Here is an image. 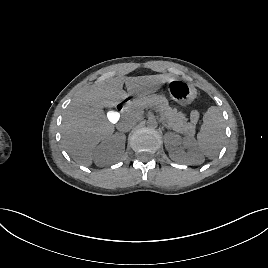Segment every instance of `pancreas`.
<instances>
[{"mask_svg":"<svg viewBox=\"0 0 268 268\" xmlns=\"http://www.w3.org/2000/svg\"><path fill=\"white\" fill-rule=\"evenodd\" d=\"M147 107H152L159 112L166 127L184 135H194L196 122H187L185 114L177 111L175 108H171L166 97L162 95L140 97L129 106V111L132 114L139 115Z\"/></svg>","mask_w":268,"mask_h":268,"instance_id":"cf45deb5","label":"pancreas"}]
</instances>
